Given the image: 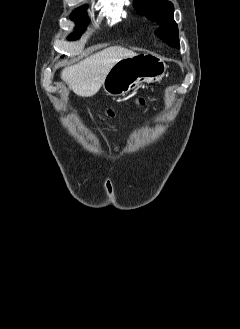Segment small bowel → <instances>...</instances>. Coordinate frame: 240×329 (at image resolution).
Here are the masks:
<instances>
[{
    "label": "small bowel",
    "mask_w": 240,
    "mask_h": 329,
    "mask_svg": "<svg viewBox=\"0 0 240 329\" xmlns=\"http://www.w3.org/2000/svg\"><path fill=\"white\" fill-rule=\"evenodd\" d=\"M120 151V148H116L115 150H114V153H118Z\"/></svg>",
    "instance_id": "1"
}]
</instances>
